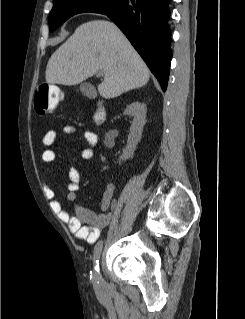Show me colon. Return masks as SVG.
<instances>
[{"mask_svg":"<svg viewBox=\"0 0 245 319\" xmlns=\"http://www.w3.org/2000/svg\"><path fill=\"white\" fill-rule=\"evenodd\" d=\"M62 99V92L55 85L40 84L36 88L34 108L40 116H46L53 112Z\"/></svg>","mask_w":245,"mask_h":319,"instance_id":"obj_1","label":"colon"}]
</instances>
